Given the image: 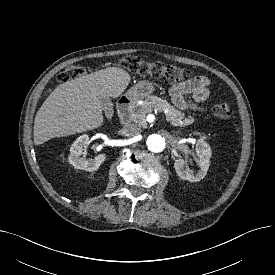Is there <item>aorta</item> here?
<instances>
[{
  "label": "aorta",
  "instance_id": "obj_1",
  "mask_svg": "<svg viewBox=\"0 0 275 275\" xmlns=\"http://www.w3.org/2000/svg\"><path fill=\"white\" fill-rule=\"evenodd\" d=\"M147 147L151 152L159 153L162 152L166 147L164 137L158 134H152L147 138Z\"/></svg>",
  "mask_w": 275,
  "mask_h": 275
}]
</instances>
